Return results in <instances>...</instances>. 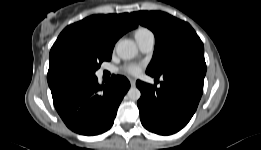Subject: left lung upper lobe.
Wrapping results in <instances>:
<instances>
[{"instance_id": "obj_1", "label": "left lung upper lobe", "mask_w": 261, "mask_h": 150, "mask_svg": "<svg viewBox=\"0 0 261 150\" xmlns=\"http://www.w3.org/2000/svg\"><path fill=\"white\" fill-rule=\"evenodd\" d=\"M131 15L155 35L154 54L146 72L162 75L182 62L205 65L203 43L188 23L161 11Z\"/></svg>"}]
</instances>
